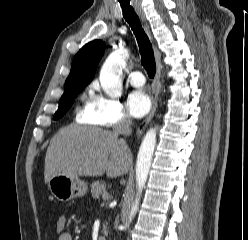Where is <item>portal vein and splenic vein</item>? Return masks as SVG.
Instances as JSON below:
<instances>
[{
	"label": "portal vein and splenic vein",
	"instance_id": "portal-vein-and-splenic-vein-1",
	"mask_svg": "<svg viewBox=\"0 0 248 240\" xmlns=\"http://www.w3.org/2000/svg\"><path fill=\"white\" fill-rule=\"evenodd\" d=\"M108 196H109V195H108L107 192L103 194V197H104V198H107Z\"/></svg>",
	"mask_w": 248,
	"mask_h": 240
}]
</instances>
